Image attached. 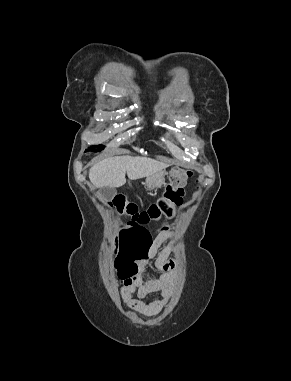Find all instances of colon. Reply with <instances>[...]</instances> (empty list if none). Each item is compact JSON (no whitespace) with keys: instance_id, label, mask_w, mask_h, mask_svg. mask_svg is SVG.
<instances>
[{"instance_id":"1","label":"colon","mask_w":291,"mask_h":381,"mask_svg":"<svg viewBox=\"0 0 291 381\" xmlns=\"http://www.w3.org/2000/svg\"><path fill=\"white\" fill-rule=\"evenodd\" d=\"M191 176L192 171L189 169L175 170L161 197L144 209H139L134 202L123 195L116 196L109 202L110 207L124 216L133 227L132 230H121L114 240L117 265L131 271L134 269V263L141 255L135 240L142 237L145 232L143 227L149 223L173 216L175 208L182 204L183 187Z\"/></svg>"}]
</instances>
